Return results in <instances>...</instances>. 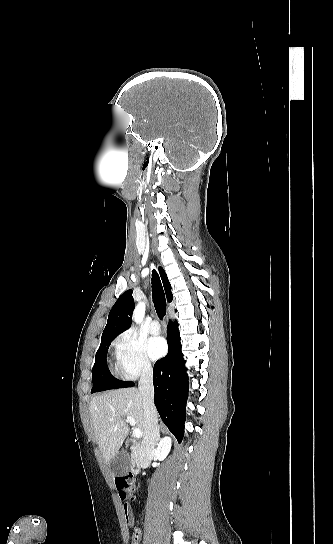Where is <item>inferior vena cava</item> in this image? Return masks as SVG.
I'll list each match as a JSON object with an SVG mask.
<instances>
[{"instance_id":"1","label":"inferior vena cava","mask_w":333,"mask_h":544,"mask_svg":"<svg viewBox=\"0 0 333 544\" xmlns=\"http://www.w3.org/2000/svg\"><path fill=\"white\" fill-rule=\"evenodd\" d=\"M139 392L143 400L145 433L141 443V467H148L154 454L157 438V410L154 405L153 374L151 368H145L138 383Z\"/></svg>"}]
</instances>
